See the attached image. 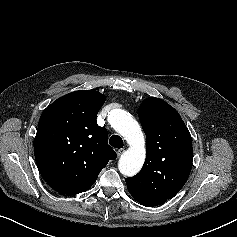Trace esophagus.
I'll return each mask as SVG.
<instances>
[{
    "label": "esophagus",
    "mask_w": 237,
    "mask_h": 237,
    "mask_svg": "<svg viewBox=\"0 0 237 237\" xmlns=\"http://www.w3.org/2000/svg\"><path fill=\"white\" fill-rule=\"evenodd\" d=\"M124 151H125L124 149H119L117 151V156L120 157L124 153Z\"/></svg>",
    "instance_id": "esophagus-1"
}]
</instances>
